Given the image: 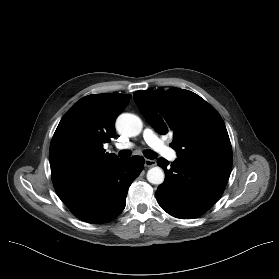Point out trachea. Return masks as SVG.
Listing matches in <instances>:
<instances>
[{
    "mask_svg": "<svg viewBox=\"0 0 279 279\" xmlns=\"http://www.w3.org/2000/svg\"><path fill=\"white\" fill-rule=\"evenodd\" d=\"M143 153L148 159H155L157 157V154L150 149L145 150ZM118 156L121 158H127L131 156V152L129 150H122L118 153Z\"/></svg>",
    "mask_w": 279,
    "mask_h": 279,
    "instance_id": "trachea-1",
    "label": "trachea"
}]
</instances>
